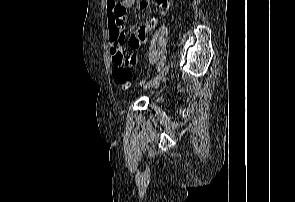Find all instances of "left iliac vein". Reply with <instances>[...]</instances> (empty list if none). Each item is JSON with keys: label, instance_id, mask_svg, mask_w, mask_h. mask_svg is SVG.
<instances>
[{"label": "left iliac vein", "instance_id": "4c4485c4", "mask_svg": "<svg viewBox=\"0 0 295 202\" xmlns=\"http://www.w3.org/2000/svg\"><path fill=\"white\" fill-rule=\"evenodd\" d=\"M169 67H170L169 65H166L162 70H160L155 77H153L150 81H148L147 83L143 85V89L146 90L157 85L168 73Z\"/></svg>", "mask_w": 295, "mask_h": 202}]
</instances>
